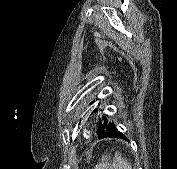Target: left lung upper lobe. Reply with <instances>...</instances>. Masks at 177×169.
Segmentation results:
<instances>
[{
	"mask_svg": "<svg viewBox=\"0 0 177 169\" xmlns=\"http://www.w3.org/2000/svg\"><path fill=\"white\" fill-rule=\"evenodd\" d=\"M107 126L110 127V126H111V123H108V121H107L106 119H105V122H104V123H100V124H99V126H98V131H97L98 137H99L100 135H102V134L105 132Z\"/></svg>",
	"mask_w": 177,
	"mask_h": 169,
	"instance_id": "1",
	"label": "left lung upper lobe"
}]
</instances>
